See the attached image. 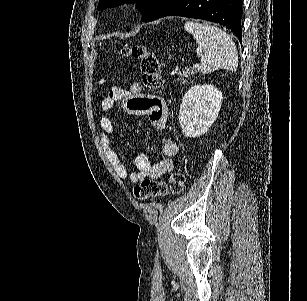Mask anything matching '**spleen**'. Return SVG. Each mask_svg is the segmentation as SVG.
Here are the masks:
<instances>
[{
	"label": "spleen",
	"instance_id": "1",
	"mask_svg": "<svg viewBox=\"0 0 307 301\" xmlns=\"http://www.w3.org/2000/svg\"><path fill=\"white\" fill-rule=\"evenodd\" d=\"M185 30L193 34L198 46L197 56L200 58L199 68L203 74L213 70L226 68L235 72L238 66V52L231 36L212 24H202L187 20Z\"/></svg>",
	"mask_w": 307,
	"mask_h": 301
}]
</instances>
